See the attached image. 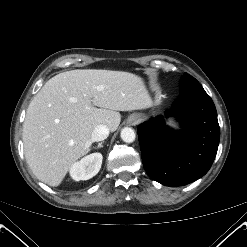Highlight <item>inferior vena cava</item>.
I'll return each instance as SVG.
<instances>
[{
    "label": "inferior vena cava",
    "mask_w": 247,
    "mask_h": 247,
    "mask_svg": "<svg viewBox=\"0 0 247 247\" xmlns=\"http://www.w3.org/2000/svg\"><path fill=\"white\" fill-rule=\"evenodd\" d=\"M109 136V128L100 124L96 126L92 132V141H103Z\"/></svg>",
    "instance_id": "inferior-vena-cava-1"
}]
</instances>
